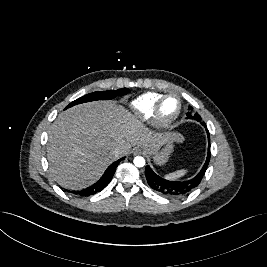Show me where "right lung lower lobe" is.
<instances>
[{
	"instance_id": "1",
	"label": "right lung lower lobe",
	"mask_w": 267,
	"mask_h": 267,
	"mask_svg": "<svg viewBox=\"0 0 267 267\" xmlns=\"http://www.w3.org/2000/svg\"><path fill=\"white\" fill-rule=\"evenodd\" d=\"M123 159H124V157L119 159V160H117L113 164H111L106 169V171L104 172V174L100 178V180L97 181L92 186H90L88 188H85V189H82V190H79V191H71V192H73V193H75L77 195L83 196V197H87V196H90V195H93V194H96V193L102 191L109 184V182L111 181L119 162L122 161Z\"/></svg>"
}]
</instances>
